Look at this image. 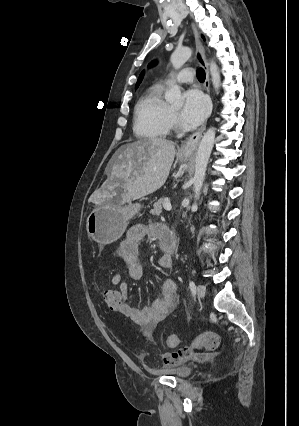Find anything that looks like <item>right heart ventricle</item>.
<instances>
[{
	"instance_id": "1",
	"label": "right heart ventricle",
	"mask_w": 299,
	"mask_h": 426,
	"mask_svg": "<svg viewBox=\"0 0 299 426\" xmlns=\"http://www.w3.org/2000/svg\"><path fill=\"white\" fill-rule=\"evenodd\" d=\"M163 85L151 86L135 108L134 132L139 138L161 139L171 128V109L162 97Z\"/></svg>"
}]
</instances>
